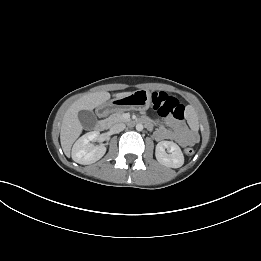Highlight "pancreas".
Returning a JSON list of instances; mask_svg holds the SVG:
<instances>
[{
    "instance_id": "1",
    "label": "pancreas",
    "mask_w": 261,
    "mask_h": 261,
    "mask_svg": "<svg viewBox=\"0 0 261 261\" xmlns=\"http://www.w3.org/2000/svg\"><path fill=\"white\" fill-rule=\"evenodd\" d=\"M123 114L124 113L122 111L113 113L105 121L107 122L108 125H113L114 123H118V122H125L127 120L124 118Z\"/></svg>"
}]
</instances>
